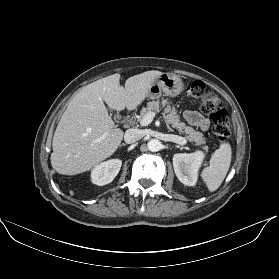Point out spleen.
I'll list each match as a JSON object with an SVG mask.
<instances>
[{
    "mask_svg": "<svg viewBox=\"0 0 279 279\" xmlns=\"http://www.w3.org/2000/svg\"><path fill=\"white\" fill-rule=\"evenodd\" d=\"M231 155V145L224 142L213 153L210 165L203 169L201 176L210 192L217 190L226 177L231 163Z\"/></svg>",
    "mask_w": 279,
    "mask_h": 279,
    "instance_id": "spleen-1",
    "label": "spleen"
}]
</instances>
